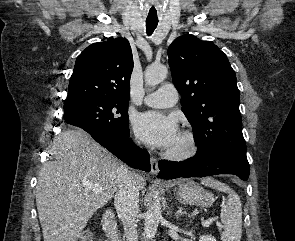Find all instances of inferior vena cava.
<instances>
[{"label": "inferior vena cava", "mask_w": 295, "mask_h": 241, "mask_svg": "<svg viewBox=\"0 0 295 241\" xmlns=\"http://www.w3.org/2000/svg\"><path fill=\"white\" fill-rule=\"evenodd\" d=\"M117 191L115 193V208L124 226L126 241H138L137 215L139 212V188L134 174L127 167L117 170Z\"/></svg>", "instance_id": "obj_1"}]
</instances>
